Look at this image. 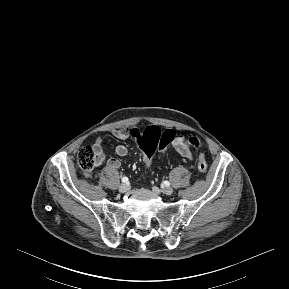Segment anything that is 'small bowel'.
<instances>
[{
  "label": "small bowel",
  "instance_id": "c3829d8e",
  "mask_svg": "<svg viewBox=\"0 0 289 289\" xmlns=\"http://www.w3.org/2000/svg\"><path fill=\"white\" fill-rule=\"evenodd\" d=\"M131 135H132V132L128 129H118V130L113 131V136L119 140H125ZM102 143H103V140L101 137L96 138V140L94 142V149L98 153L99 159H100L99 164L103 163V161L105 160V155L103 152ZM173 146H174L175 150L183 158L188 159V160H192V158H193L192 151H191L189 145L187 144V142L185 141L184 137H182V136L176 137L175 141L173 142ZM114 151L120 157H124L128 154V148L122 144L115 146ZM107 165L110 168H119L120 167V161L116 158H110L107 161Z\"/></svg>",
  "mask_w": 289,
  "mask_h": 289
}]
</instances>
